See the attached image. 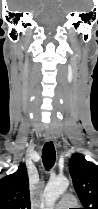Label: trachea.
<instances>
[{
    "mask_svg": "<svg viewBox=\"0 0 98 209\" xmlns=\"http://www.w3.org/2000/svg\"><path fill=\"white\" fill-rule=\"evenodd\" d=\"M55 148L52 142L45 143L42 150V160L45 168L49 170L55 163Z\"/></svg>",
    "mask_w": 98,
    "mask_h": 209,
    "instance_id": "1",
    "label": "trachea"
}]
</instances>
